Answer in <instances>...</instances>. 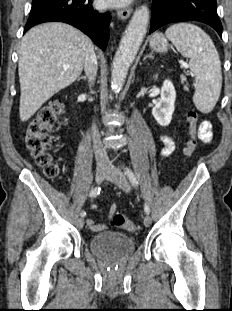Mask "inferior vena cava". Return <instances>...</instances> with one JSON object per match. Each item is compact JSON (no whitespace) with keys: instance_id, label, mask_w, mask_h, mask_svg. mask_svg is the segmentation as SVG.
I'll use <instances>...</instances> for the list:
<instances>
[{"instance_id":"602c4592","label":"inferior vena cava","mask_w":232,"mask_h":311,"mask_svg":"<svg viewBox=\"0 0 232 311\" xmlns=\"http://www.w3.org/2000/svg\"><path fill=\"white\" fill-rule=\"evenodd\" d=\"M97 58L94 52L93 45H90L86 51L85 61H84V70L89 79V86L93 85L95 77L97 75ZM93 144L94 152L97 166H109L110 161L106 152V149L103 148L100 140V135L97 128L93 127Z\"/></svg>"}]
</instances>
